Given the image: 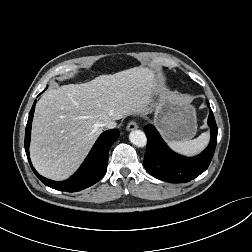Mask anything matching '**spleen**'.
I'll return each instance as SVG.
<instances>
[{"instance_id":"spleen-1","label":"spleen","mask_w":252,"mask_h":252,"mask_svg":"<svg viewBox=\"0 0 252 252\" xmlns=\"http://www.w3.org/2000/svg\"><path fill=\"white\" fill-rule=\"evenodd\" d=\"M209 141V134L207 132L202 133L199 137L193 140L185 141H173L170 142V147L183 154L193 155L202 151Z\"/></svg>"}]
</instances>
